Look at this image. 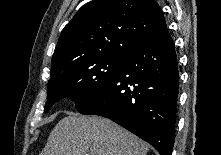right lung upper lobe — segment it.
Wrapping results in <instances>:
<instances>
[{
    "mask_svg": "<svg viewBox=\"0 0 221 155\" xmlns=\"http://www.w3.org/2000/svg\"><path fill=\"white\" fill-rule=\"evenodd\" d=\"M166 29L154 0H93L62 30L51 74L79 60L127 55L139 41Z\"/></svg>",
    "mask_w": 221,
    "mask_h": 155,
    "instance_id": "obj_1",
    "label": "right lung upper lobe"
}]
</instances>
